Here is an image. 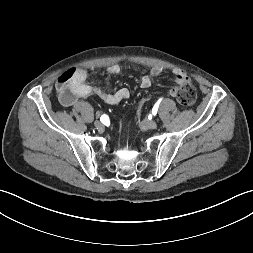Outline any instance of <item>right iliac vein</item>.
<instances>
[{
  "label": "right iliac vein",
  "mask_w": 253,
  "mask_h": 253,
  "mask_svg": "<svg viewBox=\"0 0 253 253\" xmlns=\"http://www.w3.org/2000/svg\"><path fill=\"white\" fill-rule=\"evenodd\" d=\"M94 126H95L97 129L103 128V124H102L100 121H95V122H94Z\"/></svg>",
  "instance_id": "1"
}]
</instances>
